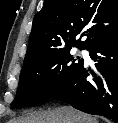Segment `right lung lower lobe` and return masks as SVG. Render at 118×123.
Masks as SVG:
<instances>
[{"label": "right lung lower lobe", "mask_w": 118, "mask_h": 123, "mask_svg": "<svg viewBox=\"0 0 118 123\" xmlns=\"http://www.w3.org/2000/svg\"><path fill=\"white\" fill-rule=\"evenodd\" d=\"M88 51L95 62L96 72L87 70L82 64L50 98L118 123V35L96 43ZM90 74L94 78L87 81Z\"/></svg>", "instance_id": "obj_1"}]
</instances>
